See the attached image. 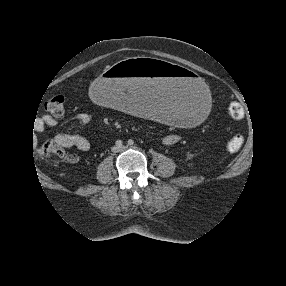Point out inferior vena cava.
<instances>
[{"label": "inferior vena cava", "mask_w": 286, "mask_h": 286, "mask_svg": "<svg viewBox=\"0 0 286 286\" xmlns=\"http://www.w3.org/2000/svg\"><path fill=\"white\" fill-rule=\"evenodd\" d=\"M113 150H114V151H118V148L114 147Z\"/></svg>", "instance_id": "1"}]
</instances>
